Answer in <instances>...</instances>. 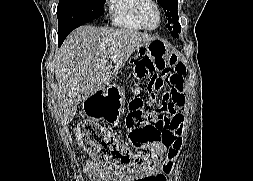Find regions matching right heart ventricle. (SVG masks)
Wrapping results in <instances>:
<instances>
[{"mask_svg":"<svg viewBox=\"0 0 253 181\" xmlns=\"http://www.w3.org/2000/svg\"><path fill=\"white\" fill-rule=\"evenodd\" d=\"M139 0H107L109 20L115 27L131 32L142 31L136 17Z\"/></svg>","mask_w":253,"mask_h":181,"instance_id":"obj_1","label":"right heart ventricle"}]
</instances>
